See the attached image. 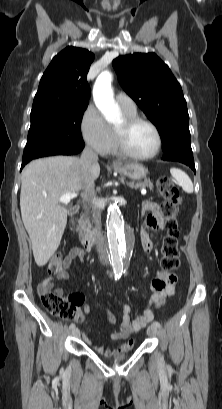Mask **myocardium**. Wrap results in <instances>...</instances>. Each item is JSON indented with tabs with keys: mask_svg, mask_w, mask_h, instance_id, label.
I'll use <instances>...</instances> for the list:
<instances>
[{
	"mask_svg": "<svg viewBox=\"0 0 222 409\" xmlns=\"http://www.w3.org/2000/svg\"><path fill=\"white\" fill-rule=\"evenodd\" d=\"M137 124H146L150 126L156 134V139H157L156 147L149 154H146V155L135 154L129 149L127 145V141H126L127 132L132 127L136 126ZM115 139H116V145H117L118 150L126 157L135 159V160L152 159L158 155V153L160 152L162 148V135L157 125L154 122L150 121L149 119L139 117V116L126 117L124 127L122 129L116 128Z\"/></svg>",
	"mask_w": 222,
	"mask_h": 409,
	"instance_id": "f54148a6",
	"label": "myocardium"
}]
</instances>
